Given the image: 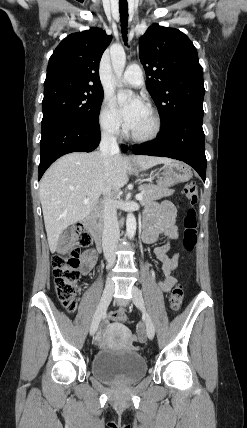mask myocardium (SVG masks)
Listing matches in <instances>:
<instances>
[{"label": "myocardium", "instance_id": "myocardium-1", "mask_svg": "<svg viewBox=\"0 0 247 428\" xmlns=\"http://www.w3.org/2000/svg\"><path fill=\"white\" fill-rule=\"evenodd\" d=\"M147 109L149 110V112L152 116V119H153L152 130L145 135H138L132 131L129 132L130 138L133 141L138 142V143L151 142V141L155 140L160 135V133L162 131V119H161L159 112L151 105H148Z\"/></svg>", "mask_w": 247, "mask_h": 428}]
</instances>
